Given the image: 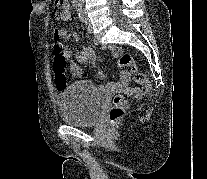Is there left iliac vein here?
<instances>
[{"instance_id": "1", "label": "left iliac vein", "mask_w": 207, "mask_h": 179, "mask_svg": "<svg viewBox=\"0 0 207 179\" xmlns=\"http://www.w3.org/2000/svg\"><path fill=\"white\" fill-rule=\"evenodd\" d=\"M85 23H86L87 31L89 33H92L93 32V28H92L90 20L86 17V15H85Z\"/></svg>"}]
</instances>
